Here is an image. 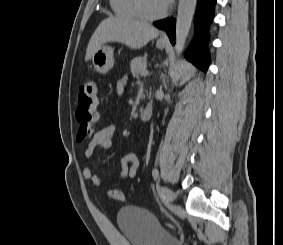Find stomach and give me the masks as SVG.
Wrapping results in <instances>:
<instances>
[{"label":"stomach","instance_id":"stomach-1","mask_svg":"<svg viewBox=\"0 0 283 245\" xmlns=\"http://www.w3.org/2000/svg\"><path fill=\"white\" fill-rule=\"evenodd\" d=\"M156 46L159 49L165 48L166 44L158 41ZM114 50L110 46H101L92 56V63L97 72L107 73L114 66Z\"/></svg>","mask_w":283,"mask_h":245}]
</instances>
